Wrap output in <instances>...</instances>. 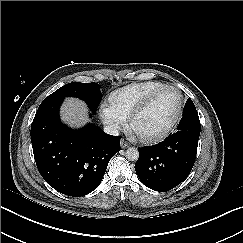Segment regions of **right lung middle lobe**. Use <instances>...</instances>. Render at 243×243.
<instances>
[{
  "mask_svg": "<svg viewBox=\"0 0 243 243\" xmlns=\"http://www.w3.org/2000/svg\"><path fill=\"white\" fill-rule=\"evenodd\" d=\"M100 87L97 83L72 82L53 92L42 103L64 100L65 97H77L85 101L91 112L95 113L102 98Z\"/></svg>",
  "mask_w": 243,
  "mask_h": 243,
  "instance_id": "right-lung-middle-lobe-1",
  "label": "right lung middle lobe"
}]
</instances>
